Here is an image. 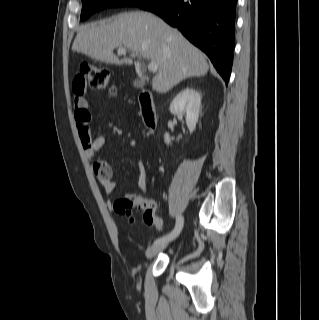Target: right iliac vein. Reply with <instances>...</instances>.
I'll use <instances>...</instances> for the list:
<instances>
[{
	"label": "right iliac vein",
	"mask_w": 319,
	"mask_h": 320,
	"mask_svg": "<svg viewBox=\"0 0 319 320\" xmlns=\"http://www.w3.org/2000/svg\"><path fill=\"white\" fill-rule=\"evenodd\" d=\"M167 246L166 243H162V244H155L151 247H149L146 251V256L148 258H152L155 255H157L159 252H161L163 249H165Z\"/></svg>",
	"instance_id": "1"
}]
</instances>
